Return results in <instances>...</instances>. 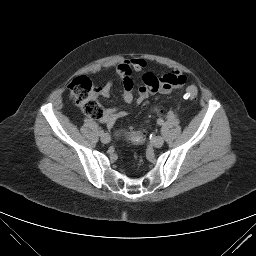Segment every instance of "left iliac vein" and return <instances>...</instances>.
<instances>
[{
  "instance_id": "4c4485c4",
  "label": "left iliac vein",
  "mask_w": 256,
  "mask_h": 256,
  "mask_svg": "<svg viewBox=\"0 0 256 256\" xmlns=\"http://www.w3.org/2000/svg\"><path fill=\"white\" fill-rule=\"evenodd\" d=\"M164 144V139L161 136H156L153 140H152V145L156 148H160L162 147Z\"/></svg>"
}]
</instances>
